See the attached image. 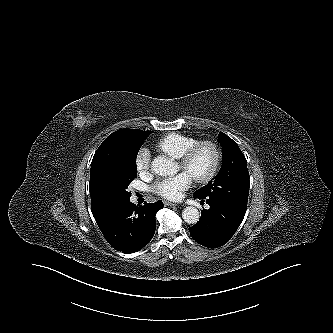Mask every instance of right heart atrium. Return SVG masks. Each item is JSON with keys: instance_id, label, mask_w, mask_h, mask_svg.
<instances>
[{"instance_id": "right-heart-atrium-1", "label": "right heart atrium", "mask_w": 333, "mask_h": 333, "mask_svg": "<svg viewBox=\"0 0 333 333\" xmlns=\"http://www.w3.org/2000/svg\"><path fill=\"white\" fill-rule=\"evenodd\" d=\"M151 154L148 149L141 148L135 156V168L138 173L146 174L149 171Z\"/></svg>"}]
</instances>
